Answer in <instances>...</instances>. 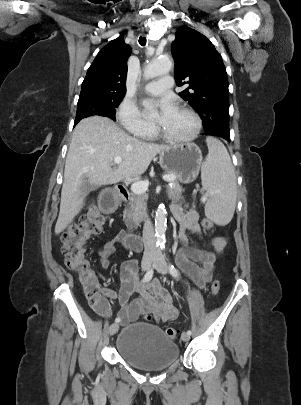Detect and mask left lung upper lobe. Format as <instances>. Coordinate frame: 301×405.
I'll return each mask as SVG.
<instances>
[{
	"mask_svg": "<svg viewBox=\"0 0 301 405\" xmlns=\"http://www.w3.org/2000/svg\"><path fill=\"white\" fill-rule=\"evenodd\" d=\"M179 93L200 115L205 134L229 133V91L226 68L214 45L198 31L182 27L171 45Z\"/></svg>",
	"mask_w": 301,
	"mask_h": 405,
	"instance_id": "left-lung-upper-lobe-1",
	"label": "left lung upper lobe"
}]
</instances>
